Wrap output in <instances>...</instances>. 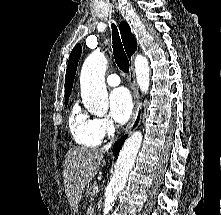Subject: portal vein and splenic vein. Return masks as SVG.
<instances>
[{
  "label": "portal vein and splenic vein",
  "mask_w": 221,
  "mask_h": 215,
  "mask_svg": "<svg viewBox=\"0 0 221 215\" xmlns=\"http://www.w3.org/2000/svg\"><path fill=\"white\" fill-rule=\"evenodd\" d=\"M89 210H92V208H91V207H89Z\"/></svg>",
  "instance_id": "obj_1"
}]
</instances>
